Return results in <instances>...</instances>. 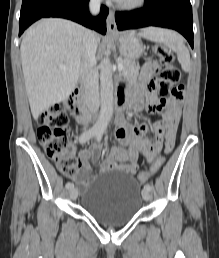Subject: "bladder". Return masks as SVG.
<instances>
[{"label": "bladder", "mask_w": 219, "mask_h": 258, "mask_svg": "<svg viewBox=\"0 0 219 258\" xmlns=\"http://www.w3.org/2000/svg\"><path fill=\"white\" fill-rule=\"evenodd\" d=\"M81 207L106 226L127 224L142 207L140 186L121 171L101 172L92 178L82 194Z\"/></svg>", "instance_id": "1"}]
</instances>
